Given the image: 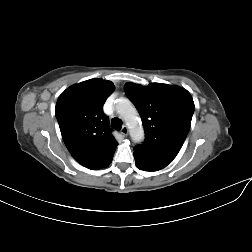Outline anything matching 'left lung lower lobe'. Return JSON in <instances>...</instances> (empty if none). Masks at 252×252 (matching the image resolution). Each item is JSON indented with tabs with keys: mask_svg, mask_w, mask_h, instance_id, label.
Here are the masks:
<instances>
[{
	"mask_svg": "<svg viewBox=\"0 0 252 252\" xmlns=\"http://www.w3.org/2000/svg\"><path fill=\"white\" fill-rule=\"evenodd\" d=\"M134 158L136 166L140 170L150 172L161 170L171 162L162 156L144 151L138 147H135L134 149Z\"/></svg>",
	"mask_w": 252,
	"mask_h": 252,
	"instance_id": "obj_1",
	"label": "left lung lower lobe"
}]
</instances>
